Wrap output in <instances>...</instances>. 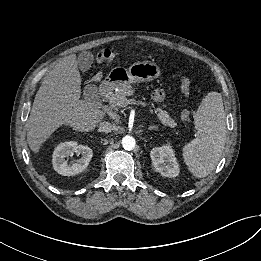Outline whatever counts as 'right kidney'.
Masks as SVG:
<instances>
[{
    "instance_id": "ca27d5eb",
    "label": "right kidney",
    "mask_w": 261,
    "mask_h": 261,
    "mask_svg": "<svg viewBox=\"0 0 261 261\" xmlns=\"http://www.w3.org/2000/svg\"><path fill=\"white\" fill-rule=\"evenodd\" d=\"M74 153L82 157L73 164H68L66 158ZM93 156L88 146L78 145L75 141L60 143L54 150L52 156L53 167L56 172L63 176H72L83 172Z\"/></svg>"
}]
</instances>
